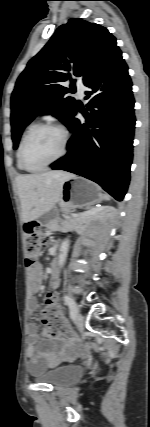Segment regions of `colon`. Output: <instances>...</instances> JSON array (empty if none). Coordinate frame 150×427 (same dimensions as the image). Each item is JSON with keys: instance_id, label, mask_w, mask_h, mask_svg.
<instances>
[{"instance_id": "5ec220e1", "label": "colon", "mask_w": 150, "mask_h": 427, "mask_svg": "<svg viewBox=\"0 0 150 427\" xmlns=\"http://www.w3.org/2000/svg\"><path fill=\"white\" fill-rule=\"evenodd\" d=\"M24 232L27 240L26 264L27 266H33L38 261L40 251L45 243V237L37 222L26 223ZM40 316L49 336L54 338L72 337L54 292H50L47 295L45 307L42 309Z\"/></svg>"}]
</instances>
